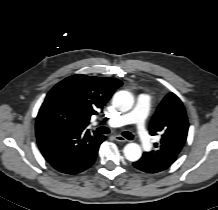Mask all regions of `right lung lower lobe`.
Here are the masks:
<instances>
[{"mask_svg":"<svg viewBox=\"0 0 218 210\" xmlns=\"http://www.w3.org/2000/svg\"><path fill=\"white\" fill-rule=\"evenodd\" d=\"M39 149L57 171L74 175L88 169L95 161L105 137L89 130L68 129L54 124L36 125Z\"/></svg>","mask_w":218,"mask_h":210,"instance_id":"right-lung-lower-lobe-1","label":"right lung lower lobe"}]
</instances>
